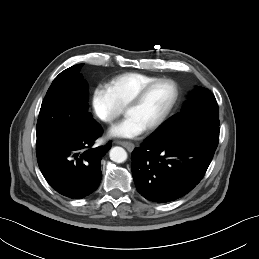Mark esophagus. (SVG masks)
I'll return each mask as SVG.
<instances>
[{
    "label": "esophagus",
    "mask_w": 259,
    "mask_h": 259,
    "mask_svg": "<svg viewBox=\"0 0 259 259\" xmlns=\"http://www.w3.org/2000/svg\"><path fill=\"white\" fill-rule=\"evenodd\" d=\"M116 144H119L123 147H125L128 151H132L134 149V144L131 142H126V141H116Z\"/></svg>",
    "instance_id": "34e87169"
}]
</instances>
